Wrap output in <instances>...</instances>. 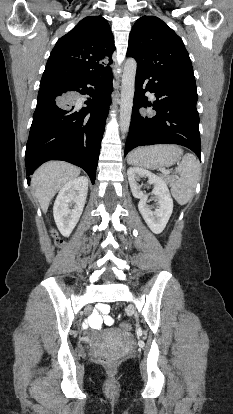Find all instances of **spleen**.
I'll use <instances>...</instances> for the list:
<instances>
[{
    "label": "spleen",
    "instance_id": "obj_1",
    "mask_svg": "<svg viewBox=\"0 0 233 414\" xmlns=\"http://www.w3.org/2000/svg\"><path fill=\"white\" fill-rule=\"evenodd\" d=\"M136 150L129 154L127 160L132 165L142 167L132 159V157L136 154ZM175 171V175L169 176L164 174V179L169 184L174 199L180 205H184L193 197L196 184L199 181L201 174L200 163L193 154H186L182 162L178 164Z\"/></svg>",
    "mask_w": 233,
    "mask_h": 414
}]
</instances>
